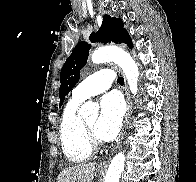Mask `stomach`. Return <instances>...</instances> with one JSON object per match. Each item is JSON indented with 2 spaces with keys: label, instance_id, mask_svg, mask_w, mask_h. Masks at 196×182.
<instances>
[{
  "label": "stomach",
  "instance_id": "obj_1",
  "mask_svg": "<svg viewBox=\"0 0 196 182\" xmlns=\"http://www.w3.org/2000/svg\"><path fill=\"white\" fill-rule=\"evenodd\" d=\"M98 172H99V173L103 172V169H98Z\"/></svg>",
  "mask_w": 196,
  "mask_h": 182
}]
</instances>
